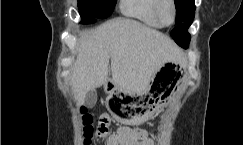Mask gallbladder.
<instances>
[{"label": "gallbladder", "mask_w": 243, "mask_h": 145, "mask_svg": "<svg viewBox=\"0 0 243 145\" xmlns=\"http://www.w3.org/2000/svg\"><path fill=\"white\" fill-rule=\"evenodd\" d=\"M97 100V93L95 90H89L86 94L85 103L89 107H93Z\"/></svg>", "instance_id": "1"}]
</instances>
